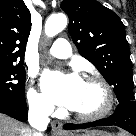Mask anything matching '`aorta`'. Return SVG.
<instances>
[{"instance_id": "aorta-1", "label": "aorta", "mask_w": 136, "mask_h": 136, "mask_svg": "<svg viewBox=\"0 0 136 136\" xmlns=\"http://www.w3.org/2000/svg\"><path fill=\"white\" fill-rule=\"evenodd\" d=\"M67 26V17L65 14L59 13L51 15L45 23L44 31L48 37H53L60 33Z\"/></svg>"}]
</instances>
